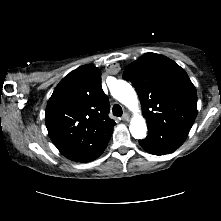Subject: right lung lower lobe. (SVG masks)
<instances>
[{"mask_svg": "<svg viewBox=\"0 0 221 221\" xmlns=\"http://www.w3.org/2000/svg\"><path fill=\"white\" fill-rule=\"evenodd\" d=\"M110 137L106 139L104 142H102L91 154H89L86 158H84L80 162H89V161L96 159L98 156H100L102 152L106 149L108 142L110 140Z\"/></svg>", "mask_w": 221, "mask_h": 221, "instance_id": "right-lung-lower-lobe-1", "label": "right lung lower lobe"}]
</instances>
